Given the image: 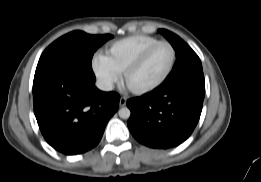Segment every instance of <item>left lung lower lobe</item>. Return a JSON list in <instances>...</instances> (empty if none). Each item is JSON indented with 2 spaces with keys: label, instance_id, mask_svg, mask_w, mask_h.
Masks as SVG:
<instances>
[{
  "label": "left lung lower lobe",
  "instance_id": "obj_1",
  "mask_svg": "<svg viewBox=\"0 0 261 182\" xmlns=\"http://www.w3.org/2000/svg\"><path fill=\"white\" fill-rule=\"evenodd\" d=\"M205 96L204 76L188 78L168 88L127 101V122L134 138L152 148L167 149L184 142L197 125Z\"/></svg>",
  "mask_w": 261,
  "mask_h": 182
}]
</instances>
